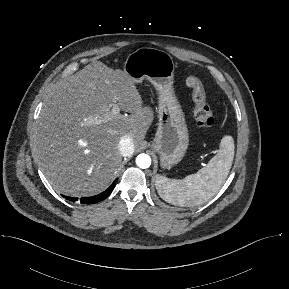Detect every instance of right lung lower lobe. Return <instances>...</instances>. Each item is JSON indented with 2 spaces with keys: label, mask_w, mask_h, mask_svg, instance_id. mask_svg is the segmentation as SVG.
<instances>
[{
  "label": "right lung lower lobe",
  "mask_w": 289,
  "mask_h": 289,
  "mask_svg": "<svg viewBox=\"0 0 289 289\" xmlns=\"http://www.w3.org/2000/svg\"><path fill=\"white\" fill-rule=\"evenodd\" d=\"M116 181H117V179L109 186L108 189H106L102 193L95 195V196H91V197H82L80 199V202L82 204H93V203H97V202L104 200L114 189V187L116 185ZM64 197L70 201H73V202L78 200V198H73V197H68V196H64Z\"/></svg>",
  "instance_id": "obj_1"
}]
</instances>
